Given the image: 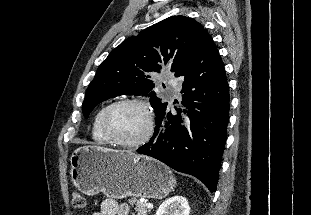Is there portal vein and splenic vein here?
<instances>
[{"instance_id":"portal-vein-and-splenic-vein-1","label":"portal vein and splenic vein","mask_w":311,"mask_h":215,"mask_svg":"<svg viewBox=\"0 0 311 215\" xmlns=\"http://www.w3.org/2000/svg\"><path fill=\"white\" fill-rule=\"evenodd\" d=\"M147 208H153V204L147 203Z\"/></svg>"}]
</instances>
